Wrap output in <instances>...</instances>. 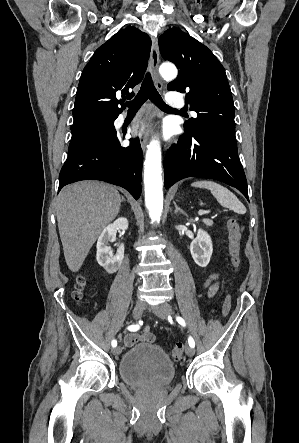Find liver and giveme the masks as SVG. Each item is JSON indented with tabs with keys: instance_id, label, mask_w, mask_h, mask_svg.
<instances>
[{
	"instance_id": "liver-1",
	"label": "liver",
	"mask_w": 299,
	"mask_h": 443,
	"mask_svg": "<svg viewBox=\"0 0 299 443\" xmlns=\"http://www.w3.org/2000/svg\"><path fill=\"white\" fill-rule=\"evenodd\" d=\"M116 187L81 181L64 187L56 201V216L68 268L77 272L102 230L119 213Z\"/></svg>"
}]
</instances>
